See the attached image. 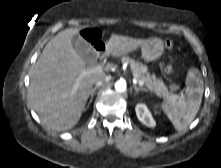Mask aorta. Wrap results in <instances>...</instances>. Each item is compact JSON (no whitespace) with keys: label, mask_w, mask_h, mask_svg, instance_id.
<instances>
[{"label":"aorta","mask_w":221,"mask_h":168,"mask_svg":"<svg viewBox=\"0 0 221 168\" xmlns=\"http://www.w3.org/2000/svg\"><path fill=\"white\" fill-rule=\"evenodd\" d=\"M115 90L117 92H125L126 91V82L123 80H119L115 83Z\"/></svg>","instance_id":"762f6f07"}]
</instances>
